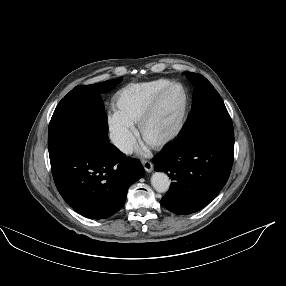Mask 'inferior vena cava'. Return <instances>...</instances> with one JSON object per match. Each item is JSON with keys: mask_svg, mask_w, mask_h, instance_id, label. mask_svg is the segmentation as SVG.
I'll return each instance as SVG.
<instances>
[{"mask_svg": "<svg viewBox=\"0 0 286 286\" xmlns=\"http://www.w3.org/2000/svg\"><path fill=\"white\" fill-rule=\"evenodd\" d=\"M111 140L115 146L125 153L133 151V143L129 134L127 133H114Z\"/></svg>", "mask_w": 286, "mask_h": 286, "instance_id": "602c4592", "label": "inferior vena cava"}]
</instances>
